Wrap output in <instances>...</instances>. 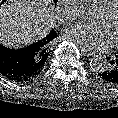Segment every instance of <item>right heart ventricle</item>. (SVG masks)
I'll return each instance as SVG.
<instances>
[{"label":"right heart ventricle","mask_w":118,"mask_h":118,"mask_svg":"<svg viewBox=\"0 0 118 118\" xmlns=\"http://www.w3.org/2000/svg\"><path fill=\"white\" fill-rule=\"evenodd\" d=\"M94 3L99 7V8H104L108 6L109 4L113 3L116 0H93Z\"/></svg>","instance_id":"right-heart-ventricle-1"}]
</instances>
